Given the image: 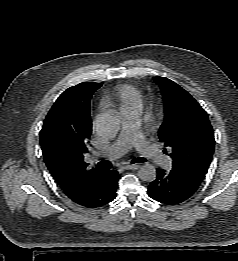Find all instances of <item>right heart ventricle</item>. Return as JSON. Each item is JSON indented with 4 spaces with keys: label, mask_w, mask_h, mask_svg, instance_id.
Masks as SVG:
<instances>
[{
    "label": "right heart ventricle",
    "mask_w": 238,
    "mask_h": 261,
    "mask_svg": "<svg viewBox=\"0 0 238 261\" xmlns=\"http://www.w3.org/2000/svg\"><path fill=\"white\" fill-rule=\"evenodd\" d=\"M107 102L118 107L122 115L138 113L140 115L144 97L142 91L135 85L124 83L117 85L107 96Z\"/></svg>",
    "instance_id": "e07e8e85"
}]
</instances>
